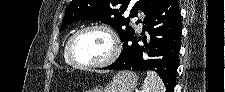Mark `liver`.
Here are the masks:
<instances>
[{
	"label": "liver",
	"mask_w": 225,
	"mask_h": 92,
	"mask_svg": "<svg viewBox=\"0 0 225 92\" xmlns=\"http://www.w3.org/2000/svg\"><path fill=\"white\" fill-rule=\"evenodd\" d=\"M98 73H104V71H98Z\"/></svg>",
	"instance_id": "1"
}]
</instances>
